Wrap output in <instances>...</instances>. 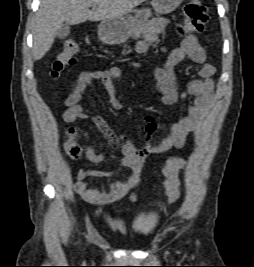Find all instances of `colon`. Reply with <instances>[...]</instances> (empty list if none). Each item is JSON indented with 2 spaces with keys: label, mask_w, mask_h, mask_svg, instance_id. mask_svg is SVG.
<instances>
[{
  "label": "colon",
  "mask_w": 254,
  "mask_h": 267,
  "mask_svg": "<svg viewBox=\"0 0 254 267\" xmlns=\"http://www.w3.org/2000/svg\"><path fill=\"white\" fill-rule=\"evenodd\" d=\"M183 19L178 25V31L181 34L200 33L204 30L208 21L207 7L201 0H187L182 9ZM78 42L74 38L66 39L58 54L56 55L51 68V76L58 78L64 70L75 61V54L78 52ZM68 139L65 143L66 154L72 159H78L83 154L89 158L92 150L86 145L76 141L75 131H68ZM186 162L182 158H171L168 160L165 168V188L166 200L169 204L175 202L179 197V179L178 173L184 168Z\"/></svg>",
  "instance_id": "colon-1"
}]
</instances>
